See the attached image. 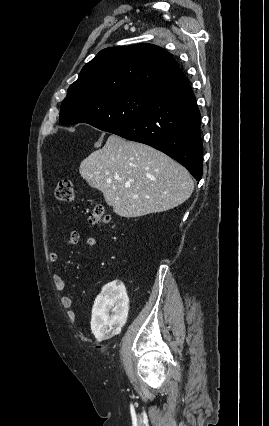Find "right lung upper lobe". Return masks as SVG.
Wrapping results in <instances>:
<instances>
[{
	"mask_svg": "<svg viewBox=\"0 0 269 426\" xmlns=\"http://www.w3.org/2000/svg\"><path fill=\"white\" fill-rule=\"evenodd\" d=\"M183 78L172 55L156 45L111 47L100 51L83 67L67 95L77 93L89 99L121 90L158 92Z\"/></svg>",
	"mask_w": 269,
	"mask_h": 426,
	"instance_id": "right-lung-upper-lobe-1",
	"label": "right lung upper lobe"
}]
</instances>
